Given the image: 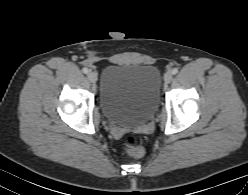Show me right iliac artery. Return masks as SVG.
<instances>
[{
	"label": "right iliac artery",
	"instance_id": "1",
	"mask_svg": "<svg viewBox=\"0 0 248 195\" xmlns=\"http://www.w3.org/2000/svg\"><path fill=\"white\" fill-rule=\"evenodd\" d=\"M82 71H83V73H85V74H87V73L89 72L88 68H86V67L83 68Z\"/></svg>",
	"mask_w": 248,
	"mask_h": 195
}]
</instances>
